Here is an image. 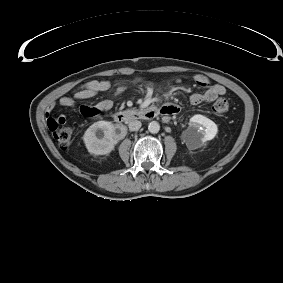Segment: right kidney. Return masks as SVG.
Wrapping results in <instances>:
<instances>
[{
  "mask_svg": "<svg viewBox=\"0 0 283 283\" xmlns=\"http://www.w3.org/2000/svg\"><path fill=\"white\" fill-rule=\"evenodd\" d=\"M121 139L114 125L108 121L93 123L83 135L88 152L94 155L109 154Z\"/></svg>",
  "mask_w": 283,
  "mask_h": 283,
  "instance_id": "right-kidney-1",
  "label": "right kidney"
}]
</instances>
